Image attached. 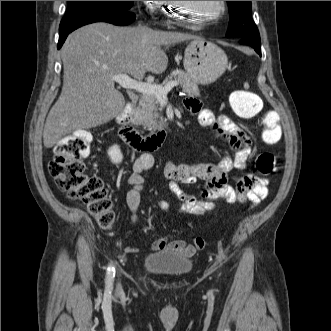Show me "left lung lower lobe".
<instances>
[{"instance_id":"left-lung-lower-lobe-1","label":"left lung lower lobe","mask_w":331,"mask_h":331,"mask_svg":"<svg viewBox=\"0 0 331 331\" xmlns=\"http://www.w3.org/2000/svg\"><path fill=\"white\" fill-rule=\"evenodd\" d=\"M241 44L252 46L255 51L261 56V42L260 36L258 37H243L237 38Z\"/></svg>"}]
</instances>
